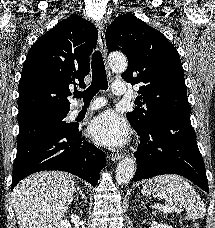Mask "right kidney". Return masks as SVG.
<instances>
[{
    "label": "right kidney",
    "mask_w": 215,
    "mask_h": 228,
    "mask_svg": "<svg viewBox=\"0 0 215 228\" xmlns=\"http://www.w3.org/2000/svg\"><path fill=\"white\" fill-rule=\"evenodd\" d=\"M58 228H71V224L68 220H61Z\"/></svg>",
    "instance_id": "right-kidney-1"
}]
</instances>
